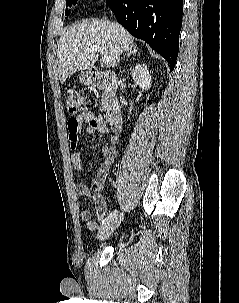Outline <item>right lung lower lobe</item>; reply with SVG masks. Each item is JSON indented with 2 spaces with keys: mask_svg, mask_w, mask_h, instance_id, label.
I'll return each instance as SVG.
<instances>
[{
  "mask_svg": "<svg viewBox=\"0 0 239 303\" xmlns=\"http://www.w3.org/2000/svg\"><path fill=\"white\" fill-rule=\"evenodd\" d=\"M117 21L147 42L174 69L182 26L183 0H107Z\"/></svg>",
  "mask_w": 239,
  "mask_h": 303,
  "instance_id": "obj_1",
  "label": "right lung lower lobe"
}]
</instances>
